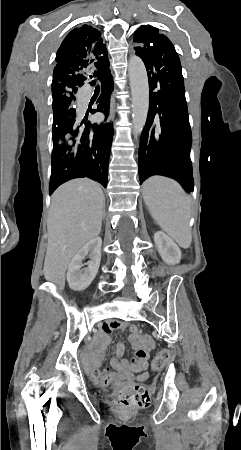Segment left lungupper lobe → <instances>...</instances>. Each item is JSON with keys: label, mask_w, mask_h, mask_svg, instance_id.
<instances>
[{"label": "left lung upper lobe", "mask_w": 241, "mask_h": 450, "mask_svg": "<svg viewBox=\"0 0 241 450\" xmlns=\"http://www.w3.org/2000/svg\"><path fill=\"white\" fill-rule=\"evenodd\" d=\"M169 39L151 25L141 26L134 34L136 53L144 57L160 55L167 47Z\"/></svg>", "instance_id": "1"}]
</instances>
